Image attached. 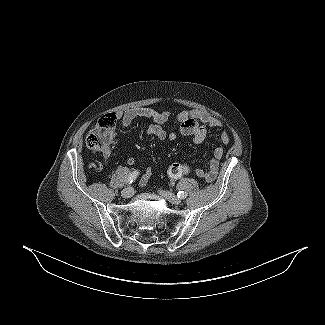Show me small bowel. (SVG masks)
I'll return each mask as SVG.
<instances>
[{"label":"small bowel","instance_id":"small-bowel-1","mask_svg":"<svg viewBox=\"0 0 325 325\" xmlns=\"http://www.w3.org/2000/svg\"><path fill=\"white\" fill-rule=\"evenodd\" d=\"M116 117L120 121L121 127L130 126L133 121L137 118H147L151 119L153 123L147 130L149 135H153L159 140H175L177 135L175 133L168 134L165 130V125L169 120V113L158 112L150 107H134L130 108L123 113H118ZM177 120L179 122V132L182 135L190 136L194 143H202L207 137V126L209 127H219L221 123L211 118L204 112L198 110H182L177 115ZM221 142L228 144L230 141V136L227 132H223L220 136ZM105 162L114 156L116 153L112 152L109 148L103 150L102 152ZM224 154V149L218 146L214 149L213 157L209 162L208 168L203 169H193V173L205 181H212L218 172L219 161ZM136 162L135 158H129L128 164L132 165ZM151 176V169L147 168L145 173L141 178V186L146 185Z\"/></svg>","mask_w":325,"mask_h":325}]
</instances>
